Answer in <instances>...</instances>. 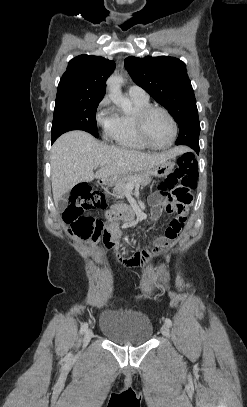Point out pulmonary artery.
Masks as SVG:
<instances>
[{
	"instance_id": "1",
	"label": "pulmonary artery",
	"mask_w": 247,
	"mask_h": 407,
	"mask_svg": "<svg viewBox=\"0 0 247 407\" xmlns=\"http://www.w3.org/2000/svg\"><path fill=\"white\" fill-rule=\"evenodd\" d=\"M128 95L134 99H140V100L149 99V96L146 93V91L137 85H132L128 88Z\"/></svg>"
}]
</instances>
